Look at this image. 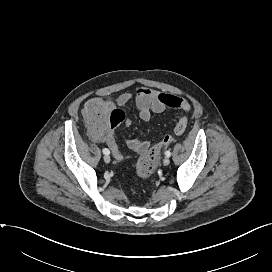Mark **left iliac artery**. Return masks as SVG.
<instances>
[{"instance_id":"obj_1","label":"left iliac artery","mask_w":272,"mask_h":272,"mask_svg":"<svg viewBox=\"0 0 272 272\" xmlns=\"http://www.w3.org/2000/svg\"><path fill=\"white\" fill-rule=\"evenodd\" d=\"M165 155H166L167 157H170V156H171V152H170V151H166V152H165Z\"/></svg>"}]
</instances>
